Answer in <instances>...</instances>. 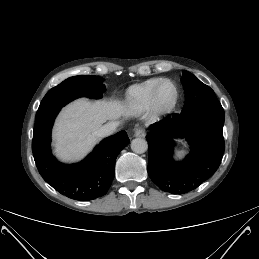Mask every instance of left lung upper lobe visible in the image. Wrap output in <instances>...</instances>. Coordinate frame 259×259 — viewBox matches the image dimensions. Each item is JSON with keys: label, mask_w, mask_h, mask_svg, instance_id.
<instances>
[{"label": "left lung upper lobe", "mask_w": 259, "mask_h": 259, "mask_svg": "<svg viewBox=\"0 0 259 259\" xmlns=\"http://www.w3.org/2000/svg\"><path fill=\"white\" fill-rule=\"evenodd\" d=\"M181 82L185 90V104L181 114L206 107L221 106L214 91L190 72H183Z\"/></svg>", "instance_id": "5c2ea615"}]
</instances>
